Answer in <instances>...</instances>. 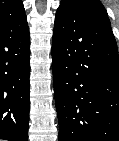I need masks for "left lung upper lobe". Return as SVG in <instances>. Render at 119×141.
Wrapping results in <instances>:
<instances>
[{"instance_id":"obj_1","label":"left lung upper lobe","mask_w":119,"mask_h":141,"mask_svg":"<svg viewBox=\"0 0 119 141\" xmlns=\"http://www.w3.org/2000/svg\"><path fill=\"white\" fill-rule=\"evenodd\" d=\"M58 9H75L84 13L108 17L99 0H62Z\"/></svg>"}]
</instances>
